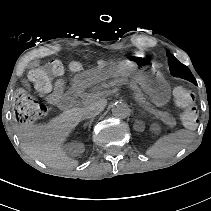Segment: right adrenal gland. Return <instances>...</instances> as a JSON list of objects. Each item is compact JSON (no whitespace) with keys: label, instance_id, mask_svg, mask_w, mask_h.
Wrapping results in <instances>:
<instances>
[{"label":"right adrenal gland","instance_id":"1","mask_svg":"<svg viewBox=\"0 0 211 211\" xmlns=\"http://www.w3.org/2000/svg\"><path fill=\"white\" fill-rule=\"evenodd\" d=\"M92 122H93V118L89 121V122H87V124H86V126L85 127H89V129H90V126H91V124H92Z\"/></svg>","mask_w":211,"mask_h":211}]
</instances>
